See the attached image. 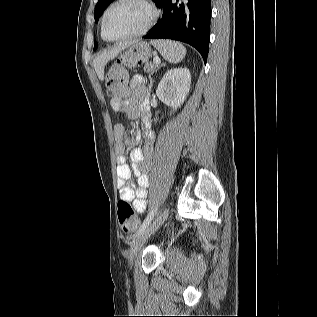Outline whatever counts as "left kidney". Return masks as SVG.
<instances>
[{
    "instance_id": "left-kidney-1",
    "label": "left kidney",
    "mask_w": 317,
    "mask_h": 317,
    "mask_svg": "<svg viewBox=\"0 0 317 317\" xmlns=\"http://www.w3.org/2000/svg\"><path fill=\"white\" fill-rule=\"evenodd\" d=\"M191 73L187 68H175L167 71L158 84L156 94L165 104L177 110L190 90Z\"/></svg>"
}]
</instances>
